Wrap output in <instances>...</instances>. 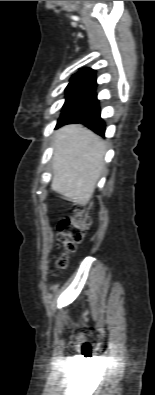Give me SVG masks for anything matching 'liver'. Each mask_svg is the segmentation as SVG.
Returning a JSON list of instances; mask_svg holds the SVG:
<instances>
[{"instance_id": "obj_1", "label": "liver", "mask_w": 155, "mask_h": 395, "mask_svg": "<svg viewBox=\"0 0 155 395\" xmlns=\"http://www.w3.org/2000/svg\"><path fill=\"white\" fill-rule=\"evenodd\" d=\"M53 146L51 188L85 205L104 169L105 142L91 130L71 124L56 131Z\"/></svg>"}]
</instances>
